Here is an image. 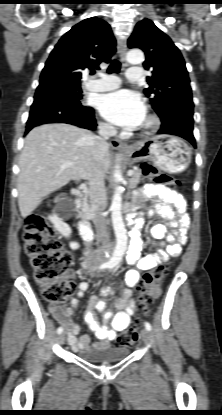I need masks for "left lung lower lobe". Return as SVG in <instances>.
Wrapping results in <instances>:
<instances>
[{
    "label": "left lung lower lobe",
    "mask_w": 222,
    "mask_h": 415,
    "mask_svg": "<svg viewBox=\"0 0 222 415\" xmlns=\"http://www.w3.org/2000/svg\"><path fill=\"white\" fill-rule=\"evenodd\" d=\"M183 114L180 117L170 115L161 119L162 125L158 134H171L180 136L188 140L194 147L196 146L193 135V101L192 96H184L181 100Z\"/></svg>",
    "instance_id": "obj_1"
}]
</instances>
